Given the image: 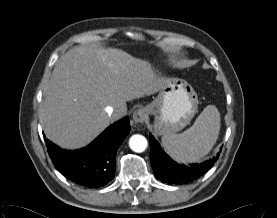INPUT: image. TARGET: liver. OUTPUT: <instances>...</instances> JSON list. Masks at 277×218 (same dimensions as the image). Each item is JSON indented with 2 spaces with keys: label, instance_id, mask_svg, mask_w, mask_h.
I'll use <instances>...</instances> for the list:
<instances>
[{
  "label": "liver",
  "instance_id": "1",
  "mask_svg": "<svg viewBox=\"0 0 277 218\" xmlns=\"http://www.w3.org/2000/svg\"><path fill=\"white\" fill-rule=\"evenodd\" d=\"M164 78L145 60L115 48L74 47L57 61L44 90L40 122L48 139L67 149L90 143L113 121L106 107L160 91Z\"/></svg>",
  "mask_w": 277,
  "mask_h": 218
}]
</instances>
